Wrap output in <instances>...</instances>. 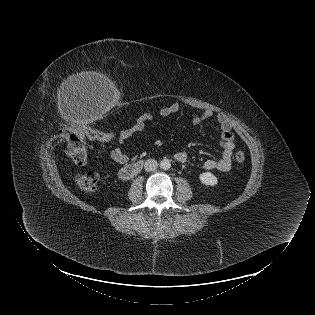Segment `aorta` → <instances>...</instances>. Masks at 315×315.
Listing matches in <instances>:
<instances>
[{"label": "aorta", "mask_w": 315, "mask_h": 315, "mask_svg": "<svg viewBox=\"0 0 315 315\" xmlns=\"http://www.w3.org/2000/svg\"><path fill=\"white\" fill-rule=\"evenodd\" d=\"M170 167H171V162L169 159L164 158L160 161V168L161 169L168 170V169H170Z\"/></svg>", "instance_id": "aorta-1"}]
</instances>
